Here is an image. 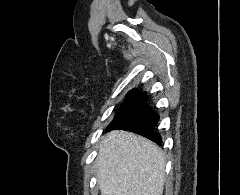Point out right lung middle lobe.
Segmentation results:
<instances>
[{"instance_id":"1","label":"right lung middle lobe","mask_w":240,"mask_h":195,"mask_svg":"<svg viewBox=\"0 0 240 195\" xmlns=\"http://www.w3.org/2000/svg\"><path fill=\"white\" fill-rule=\"evenodd\" d=\"M124 103L118 109L113 121L108 126L107 130L118 124L121 120L132 114L134 111L143 106L146 101L145 95H127Z\"/></svg>"}]
</instances>
